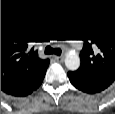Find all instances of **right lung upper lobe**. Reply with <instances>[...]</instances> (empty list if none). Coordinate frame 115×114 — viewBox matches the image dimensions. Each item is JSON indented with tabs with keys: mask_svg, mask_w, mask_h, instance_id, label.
Masks as SVG:
<instances>
[{
	"mask_svg": "<svg viewBox=\"0 0 115 114\" xmlns=\"http://www.w3.org/2000/svg\"><path fill=\"white\" fill-rule=\"evenodd\" d=\"M30 41L20 28L1 26V90L7 94H28L45 76L50 61L28 51Z\"/></svg>",
	"mask_w": 115,
	"mask_h": 114,
	"instance_id": "1",
	"label": "right lung upper lobe"
}]
</instances>
